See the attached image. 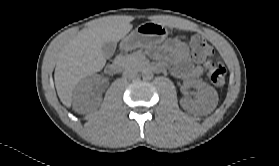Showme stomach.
<instances>
[{
    "mask_svg": "<svg viewBox=\"0 0 279 166\" xmlns=\"http://www.w3.org/2000/svg\"><path fill=\"white\" fill-rule=\"evenodd\" d=\"M168 29L156 22H146L125 36L120 46L125 51L136 48H150L161 44L168 36Z\"/></svg>",
    "mask_w": 279,
    "mask_h": 166,
    "instance_id": "1",
    "label": "stomach"
}]
</instances>
